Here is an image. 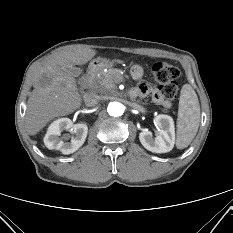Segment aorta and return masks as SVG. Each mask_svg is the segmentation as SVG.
<instances>
[{
	"instance_id": "1",
	"label": "aorta",
	"mask_w": 233,
	"mask_h": 233,
	"mask_svg": "<svg viewBox=\"0 0 233 233\" xmlns=\"http://www.w3.org/2000/svg\"><path fill=\"white\" fill-rule=\"evenodd\" d=\"M107 112L113 117L121 116L124 113V106L120 102L111 101L107 106Z\"/></svg>"
}]
</instances>
